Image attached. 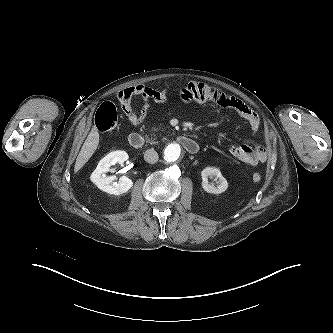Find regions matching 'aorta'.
I'll return each instance as SVG.
<instances>
[{
	"mask_svg": "<svg viewBox=\"0 0 333 333\" xmlns=\"http://www.w3.org/2000/svg\"><path fill=\"white\" fill-rule=\"evenodd\" d=\"M181 157V147L177 143H171L164 150V159L167 162H176Z\"/></svg>",
	"mask_w": 333,
	"mask_h": 333,
	"instance_id": "aorta-1",
	"label": "aorta"
}]
</instances>
